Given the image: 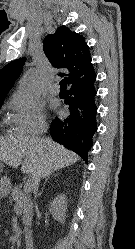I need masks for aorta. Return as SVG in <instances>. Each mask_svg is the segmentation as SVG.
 Listing matches in <instances>:
<instances>
[{
    "mask_svg": "<svg viewBox=\"0 0 135 249\" xmlns=\"http://www.w3.org/2000/svg\"><path fill=\"white\" fill-rule=\"evenodd\" d=\"M40 95V75L36 70L27 73L21 80L18 98L25 104L36 102Z\"/></svg>",
    "mask_w": 135,
    "mask_h": 249,
    "instance_id": "1",
    "label": "aorta"
}]
</instances>
